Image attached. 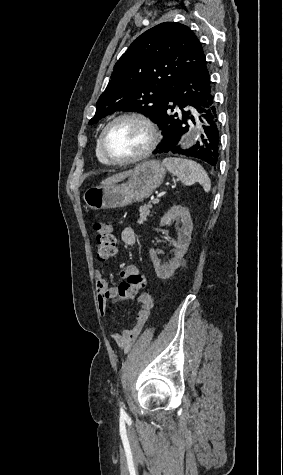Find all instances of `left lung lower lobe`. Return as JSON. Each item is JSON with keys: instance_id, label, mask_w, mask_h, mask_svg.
Masks as SVG:
<instances>
[{"instance_id": "left-lung-lower-lobe-1", "label": "left lung lower lobe", "mask_w": 283, "mask_h": 475, "mask_svg": "<svg viewBox=\"0 0 283 475\" xmlns=\"http://www.w3.org/2000/svg\"><path fill=\"white\" fill-rule=\"evenodd\" d=\"M206 62L183 75L167 94L165 104L157 121L162 130L163 140L154 153H185L216 166L219 155V130L217 112L212 95ZM170 102H174L171 105ZM187 106L201 114L208 123L204 135L189 149H181L179 141L188 131V119L194 122V116ZM202 121L201 117H199Z\"/></svg>"}]
</instances>
